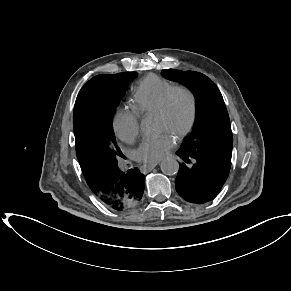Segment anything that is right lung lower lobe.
Wrapping results in <instances>:
<instances>
[{
  "mask_svg": "<svg viewBox=\"0 0 291 291\" xmlns=\"http://www.w3.org/2000/svg\"><path fill=\"white\" fill-rule=\"evenodd\" d=\"M96 179L103 185V193L97 196L113 210L131 209L143 196L145 176L136 167L125 173L117 163L99 165Z\"/></svg>",
  "mask_w": 291,
  "mask_h": 291,
  "instance_id": "98d812e1",
  "label": "right lung lower lobe"
}]
</instances>
